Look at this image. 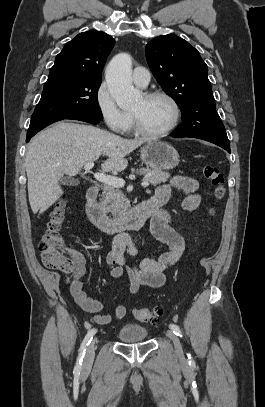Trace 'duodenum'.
<instances>
[{
  "label": "duodenum",
  "mask_w": 265,
  "mask_h": 407,
  "mask_svg": "<svg viewBox=\"0 0 265 407\" xmlns=\"http://www.w3.org/2000/svg\"><path fill=\"white\" fill-rule=\"evenodd\" d=\"M97 195L98 186L93 184L86 193V213L100 231L108 234L141 228L166 203L163 199L152 198L135 205L119 218H110L99 204Z\"/></svg>",
  "instance_id": "obj_1"
}]
</instances>
